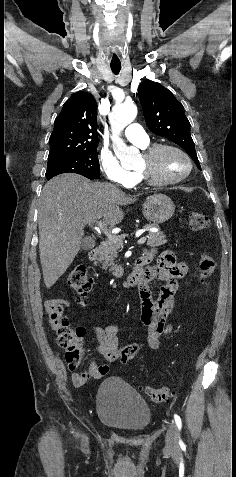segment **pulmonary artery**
<instances>
[{
  "label": "pulmonary artery",
  "instance_id": "obj_1",
  "mask_svg": "<svg viewBox=\"0 0 236 477\" xmlns=\"http://www.w3.org/2000/svg\"><path fill=\"white\" fill-rule=\"evenodd\" d=\"M125 137L140 147H145L149 143V137L143 127L137 123L129 124L124 131Z\"/></svg>",
  "mask_w": 236,
  "mask_h": 477
}]
</instances>
